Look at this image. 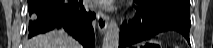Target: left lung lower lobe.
I'll use <instances>...</instances> for the list:
<instances>
[{
    "label": "left lung lower lobe",
    "instance_id": "left-lung-lower-lobe-1",
    "mask_svg": "<svg viewBox=\"0 0 213 48\" xmlns=\"http://www.w3.org/2000/svg\"><path fill=\"white\" fill-rule=\"evenodd\" d=\"M140 3L134 19L120 28L119 48L147 40L154 35L173 30L189 40L191 25L189 6L173 0H136Z\"/></svg>",
    "mask_w": 213,
    "mask_h": 48
}]
</instances>
